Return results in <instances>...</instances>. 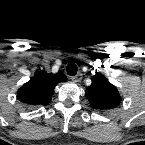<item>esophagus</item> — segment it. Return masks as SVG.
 <instances>
[{"instance_id": "obj_1", "label": "esophagus", "mask_w": 145, "mask_h": 145, "mask_svg": "<svg viewBox=\"0 0 145 145\" xmlns=\"http://www.w3.org/2000/svg\"><path fill=\"white\" fill-rule=\"evenodd\" d=\"M71 79H72V81H74V82H76V83H77V82H80L81 79H82V73L79 72L77 75L72 76Z\"/></svg>"}]
</instances>
